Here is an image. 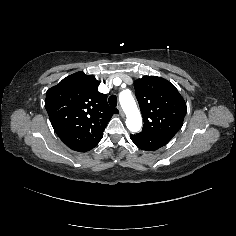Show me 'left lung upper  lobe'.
Masks as SVG:
<instances>
[{"instance_id": "obj_1", "label": "left lung upper lobe", "mask_w": 236, "mask_h": 236, "mask_svg": "<svg viewBox=\"0 0 236 236\" xmlns=\"http://www.w3.org/2000/svg\"><path fill=\"white\" fill-rule=\"evenodd\" d=\"M134 88L144 120L140 133L172 139L187 111L176 87L161 77L145 76L134 82Z\"/></svg>"}]
</instances>
